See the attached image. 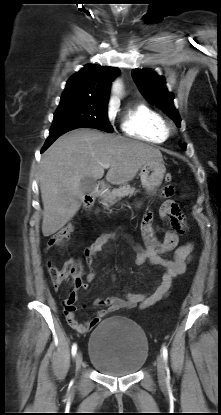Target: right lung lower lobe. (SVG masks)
Wrapping results in <instances>:
<instances>
[{
	"label": "right lung lower lobe",
	"instance_id": "right-lung-lower-lobe-1",
	"mask_svg": "<svg viewBox=\"0 0 221 415\" xmlns=\"http://www.w3.org/2000/svg\"><path fill=\"white\" fill-rule=\"evenodd\" d=\"M64 133L65 132L50 133L41 152L48 148L59 136H61Z\"/></svg>",
	"mask_w": 221,
	"mask_h": 415
}]
</instances>
